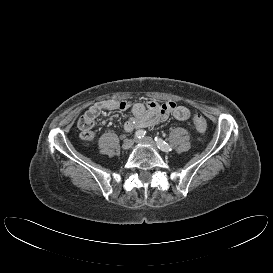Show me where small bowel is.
<instances>
[{
  "instance_id": "1",
  "label": "small bowel",
  "mask_w": 273,
  "mask_h": 273,
  "mask_svg": "<svg viewBox=\"0 0 273 273\" xmlns=\"http://www.w3.org/2000/svg\"><path fill=\"white\" fill-rule=\"evenodd\" d=\"M106 110H130L131 116L124 124V129L131 132L139 128H150L168 117L184 121L190 117L187 107L178 105L172 101L158 103L150 101L146 104L127 100H106L93 104L78 120L80 138L90 142L94 139L93 131L98 116Z\"/></svg>"
}]
</instances>
